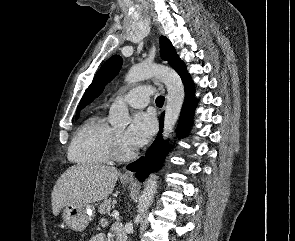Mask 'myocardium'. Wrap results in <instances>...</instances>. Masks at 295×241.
Segmentation results:
<instances>
[{"label":"myocardium","instance_id":"1","mask_svg":"<svg viewBox=\"0 0 295 241\" xmlns=\"http://www.w3.org/2000/svg\"><path fill=\"white\" fill-rule=\"evenodd\" d=\"M110 157L117 161H125L134 157V152L126 149L115 132H113L110 142Z\"/></svg>","mask_w":295,"mask_h":241}]
</instances>
